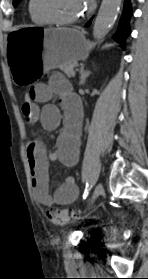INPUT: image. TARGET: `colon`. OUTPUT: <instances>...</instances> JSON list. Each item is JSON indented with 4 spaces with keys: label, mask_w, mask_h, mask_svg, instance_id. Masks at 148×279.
I'll return each instance as SVG.
<instances>
[{
    "label": "colon",
    "mask_w": 148,
    "mask_h": 279,
    "mask_svg": "<svg viewBox=\"0 0 148 279\" xmlns=\"http://www.w3.org/2000/svg\"><path fill=\"white\" fill-rule=\"evenodd\" d=\"M33 101V91L32 88L28 89L24 93V103L26 105ZM46 217L49 221L55 224H63L70 219L79 217V212L70 209H49L46 211Z\"/></svg>",
    "instance_id": "5ec220e1"
}]
</instances>
